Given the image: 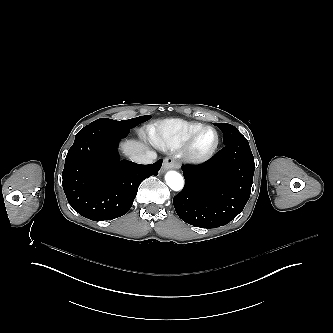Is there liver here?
Wrapping results in <instances>:
<instances>
[{
  "mask_svg": "<svg viewBox=\"0 0 333 333\" xmlns=\"http://www.w3.org/2000/svg\"><path fill=\"white\" fill-rule=\"evenodd\" d=\"M121 149L126 156H131L144 153L149 149V147L148 145L139 141L127 140L121 144Z\"/></svg>",
  "mask_w": 333,
  "mask_h": 333,
  "instance_id": "obj_1",
  "label": "liver"
}]
</instances>
